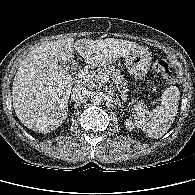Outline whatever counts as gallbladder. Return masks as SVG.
I'll return each instance as SVG.
<instances>
[{
  "instance_id": "obj_1",
  "label": "gallbladder",
  "mask_w": 195,
  "mask_h": 195,
  "mask_svg": "<svg viewBox=\"0 0 195 195\" xmlns=\"http://www.w3.org/2000/svg\"><path fill=\"white\" fill-rule=\"evenodd\" d=\"M60 64L70 72H75L78 69V65L74 60L68 62L61 61Z\"/></svg>"
}]
</instances>
